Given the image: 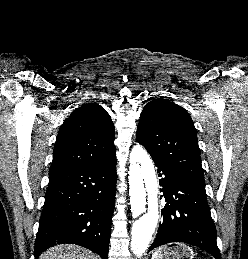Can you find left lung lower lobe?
Returning a JSON list of instances; mask_svg holds the SVG:
<instances>
[{"instance_id":"left-lung-lower-lobe-1","label":"left lung lower lobe","mask_w":248,"mask_h":259,"mask_svg":"<svg viewBox=\"0 0 248 259\" xmlns=\"http://www.w3.org/2000/svg\"><path fill=\"white\" fill-rule=\"evenodd\" d=\"M158 168L165 207L152 249L171 242H184L200 247L221 259L216 244V228L212 221L205 188L192 185L163 163L153 158Z\"/></svg>"}]
</instances>
